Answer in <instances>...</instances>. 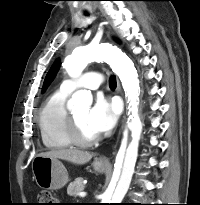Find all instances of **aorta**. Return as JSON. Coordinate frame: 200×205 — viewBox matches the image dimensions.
Returning a JSON list of instances; mask_svg holds the SVG:
<instances>
[{"mask_svg":"<svg viewBox=\"0 0 200 205\" xmlns=\"http://www.w3.org/2000/svg\"><path fill=\"white\" fill-rule=\"evenodd\" d=\"M93 61L107 62L113 72L118 75L129 104V113L131 112L129 118L131 123L129 126L132 130V141L126 149L127 130H125L120 149V152L125 154L121 176L113 194H104L101 201L102 204L121 203L128 191L134 173L142 130V124L137 117L140 92L139 79L136 68L130 58L121 49L109 43L90 44L75 48L65 59L64 66L71 77H77L88 63ZM91 103L92 95L85 90L78 91L73 95L72 104L75 107L88 109Z\"/></svg>","mask_w":200,"mask_h":205,"instance_id":"obj_1","label":"aorta"}]
</instances>
